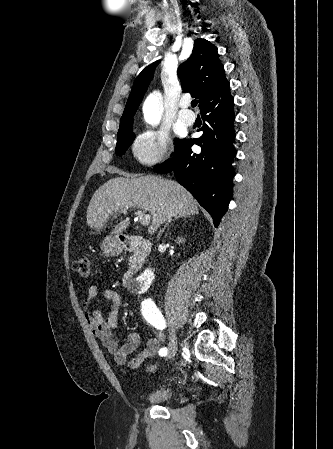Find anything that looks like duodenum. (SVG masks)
I'll list each match as a JSON object with an SVG mask.
<instances>
[{"label": "duodenum", "instance_id": "obj_1", "mask_svg": "<svg viewBox=\"0 0 333 449\" xmlns=\"http://www.w3.org/2000/svg\"><path fill=\"white\" fill-rule=\"evenodd\" d=\"M116 247L122 251L133 253V260L124 277V285L129 287L134 275L144 266L150 253V242L140 236H120L116 240Z\"/></svg>", "mask_w": 333, "mask_h": 449}]
</instances>
